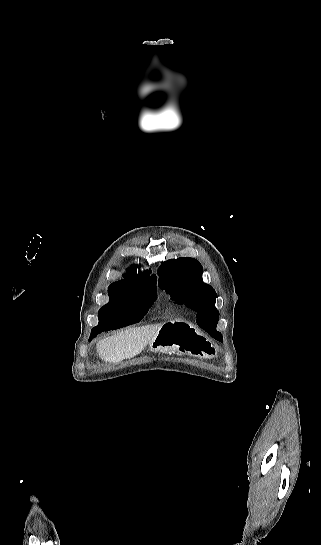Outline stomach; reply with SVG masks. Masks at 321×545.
I'll return each mask as SVG.
<instances>
[{"label": "stomach", "mask_w": 321, "mask_h": 545, "mask_svg": "<svg viewBox=\"0 0 321 545\" xmlns=\"http://www.w3.org/2000/svg\"><path fill=\"white\" fill-rule=\"evenodd\" d=\"M152 353H179L191 357H208L209 341L192 323L168 321L149 343Z\"/></svg>", "instance_id": "obj_1"}]
</instances>
